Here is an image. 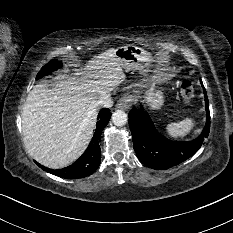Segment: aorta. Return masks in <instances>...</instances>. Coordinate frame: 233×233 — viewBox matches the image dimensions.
Masks as SVG:
<instances>
[{
  "label": "aorta",
  "mask_w": 233,
  "mask_h": 233,
  "mask_svg": "<svg viewBox=\"0 0 233 233\" xmlns=\"http://www.w3.org/2000/svg\"><path fill=\"white\" fill-rule=\"evenodd\" d=\"M112 122L115 126H123L127 123L128 116L123 110H116L112 114Z\"/></svg>",
  "instance_id": "762f6f07"
}]
</instances>
